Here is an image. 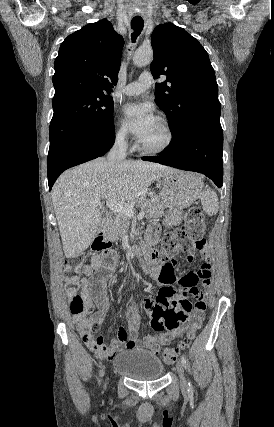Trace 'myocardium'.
<instances>
[{"label": "myocardium", "instance_id": "myocardium-1", "mask_svg": "<svg viewBox=\"0 0 274 427\" xmlns=\"http://www.w3.org/2000/svg\"><path fill=\"white\" fill-rule=\"evenodd\" d=\"M156 119L163 125V127L167 132V140L165 144L157 149H151L142 145L140 141H138L137 143V149L144 155L150 156V157L161 156L166 152H168L170 148L173 146L176 139V133L171 122L166 117H163V116H157Z\"/></svg>", "mask_w": 274, "mask_h": 427}]
</instances>
